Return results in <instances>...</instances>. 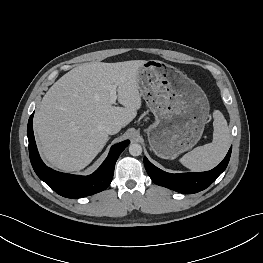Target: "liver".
Instances as JSON below:
<instances>
[{"mask_svg": "<svg viewBox=\"0 0 263 263\" xmlns=\"http://www.w3.org/2000/svg\"><path fill=\"white\" fill-rule=\"evenodd\" d=\"M143 60L92 62L73 68L44 95L34 116V131L44 158L65 172L84 169L108 141L105 126L128 125L141 108L137 81ZM111 85L118 102L110 103Z\"/></svg>", "mask_w": 263, "mask_h": 263, "instance_id": "1", "label": "liver"}]
</instances>
